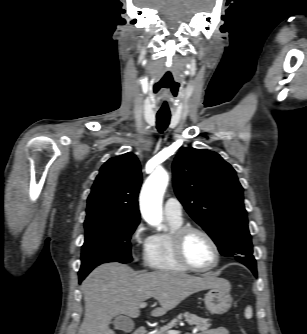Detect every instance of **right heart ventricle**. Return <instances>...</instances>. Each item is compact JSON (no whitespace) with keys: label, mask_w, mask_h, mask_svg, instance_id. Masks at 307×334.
<instances>
[{"label":"right heart ventricle","mask_w":307,"mask_h":334,"mask_svg":"<svg viewBox=\"0 0 307 334\" xmlns=\"http://www.w3.org/2000/svg\"><path fill=\"white\" fill-rule=\"evenodd\" d=\"M170 231L157 233L150 237L144 261L147 267L162 272L181 273L187 271L176 259L172 249V232L182 226V222L167 219Z\"/></svg>","instance_id":"1"}]
</instances>
